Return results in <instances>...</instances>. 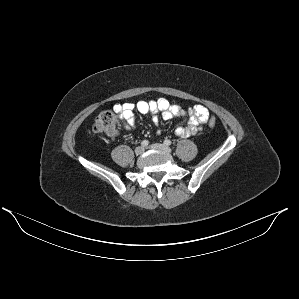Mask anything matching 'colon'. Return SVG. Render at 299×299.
<instances>
[{"instance_id": "colon-1", "label": "colon", "mask_w": 299, "mask_h": 299, "mask_svg": "<svg viewBox=\"0 0 299 299\" xmlns=\"http://www.w3.org/2000/svg\"><path fill=\"white\" fill-rule=\"evenodd\" d=\"M117 116L112 111H103L95 119L92 126V134H107L113 133L116 129ZM208 125L213 128L216 126V119L210 117L208 119Z\"/></svg>"}]
</instances>
